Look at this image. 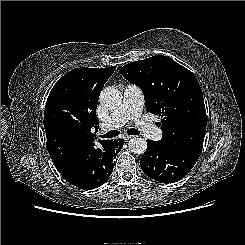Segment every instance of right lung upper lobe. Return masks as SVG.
<instances>
[{
	"instance_id": "cb5924a9",
	"label": "right lung upper lobe",
	"mask_w": 245,
	"mask_h": 245,
	"mask_svg": "<svg viewBox=\"0 0 245 245\" xmlns=\"http://www.w3.org/2000/svg\"><path fill=\"white\" fill-rule=\"evenodd\" d=\"M115 68H77L54 85L44 111L46 146L51 156L76 158L94 145L99 127L95 113L98 98Z\"/></svg>"
}]
</instances>
